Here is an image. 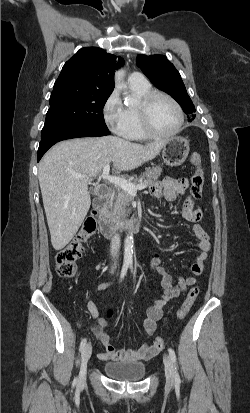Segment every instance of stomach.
Wrapping results in <instances>:
<instances>
[{"label":"stomach","mask_w":250,"mask_h":413,"mask_svg":"<svg viewBox=\"0 0 250 413\" xmlns=\"http://www.w3.org/2000/svg\"><path fill=\"white\" fill-rule=\"evenodd\" d=\"M189 154V142L184 137L176 136L165 140L162 158L169 166L183 164Z\"/></svg>","instance_id":"stomach-1"}]
</instances>
